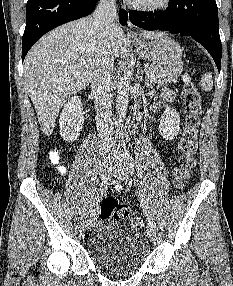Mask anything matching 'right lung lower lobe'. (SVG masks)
<instances>
[{
    "instance_id": "right-lung-lower-lobe-1",
    "label": "right lung lower lobe",
    "mask_w": 233,
    "mask_h": 286,
    "mask_svg": "<svg viewBox=\"0 0 233 286\" xmlns=\"http://www.w3.org/2000/svg\"><path fill=\"white\" fill-rule=\"evenodd\" d=\"M99 0H28L26 27L22 38V60L33 44L45 33L66 22L93 12ZM126 11H119V21L125 25Z\"/></svg>"
}]
</instances>
